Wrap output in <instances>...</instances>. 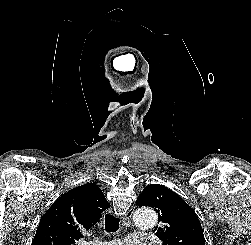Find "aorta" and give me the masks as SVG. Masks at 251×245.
<instances>
[{
    "mask_svg": "<svg viewBox=\"0 0 251 245\" xmlns=\"http://www.w3.org/2000/svg\"><path fill=\"white\" fill-rule=\"evenodd\" d=\"M157 223L156 212L149 207L138 208L135 212V225L142 229L152 228Z\"/></svg>",
    "mask_w": 251,
    "mask_h": 245,
    "instance_id": "obj_1",
    "label": "aorta"
}]
</instances>
